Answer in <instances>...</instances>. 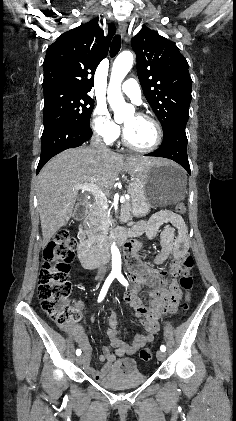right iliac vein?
<instances>
[{
  "label": "right iliac vein",
  "mask_w": 236,
  "mask_h": 421,
  "mask_svg": "<svg viewBox=\"0 0 236 421\" xmlns=\"http://www.w3.org/2000/svg\"><path fill=\"white\" fill-rule=\"evenodd\" d=\"M84 361H85V355H84V354H82V355H80V356H78V357L76 358V362H77L79 365H82V364L84 363Z\"/></svg>",
  "instance_id": "obj_1"
}]
</instances>
